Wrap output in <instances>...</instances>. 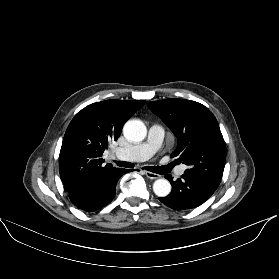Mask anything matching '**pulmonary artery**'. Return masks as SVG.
Listing matches in <instances>:
<instances>
[{
	"label": "pulmonary artery",
	"mask_w": 279,
	"mask_h": 279,
	"mask_svg": "<svg viewBox=\"0 0 279 279\" xmlns=\"http://www.w3.org/2000/svg\"><path fill=\"white\" fill-rule=\"evenodd\" d=\"M164 136V129L159 124H154L149 128L146 141L135 144L129 148H117L115 153L119 158H127L133 161L148 160L160 147ZM186 167L181 165L176 170L177 176L183 175Z\"/></svg>",
	"instance_id": "pulmonary-artery-1"
}]
</instances>
